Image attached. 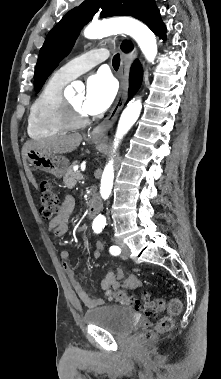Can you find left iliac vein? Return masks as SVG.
<instances>
[{
  "mask_svg": "<svg viewBox=\"0 0 221 379\" xmlns=\"http://www.w3.org/2000/svg\"><path fill=\"white\" fill-rule=\"evenodd\" d=\"M120 247H121V250H122V252H121L122 259H124V260L128 259L129 258V254H130V250H129L128 246L126 244H124V243H121Z\"/></svg>",
  "mask_w": 221,
  "mask_h": 379,
  "instance_id": "obj_1",
  "label": "left iliac vein"
}]
</instances>
